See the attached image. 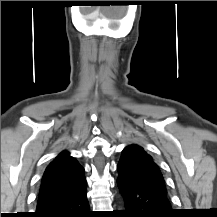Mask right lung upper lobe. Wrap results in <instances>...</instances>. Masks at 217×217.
I'll use <instances>...</instances> for the list:
<instances>
[{
  "label": "right lung upper lobe",
  "instance_id": "right-lung-upper-lobe-1",
  "mask_svg": "<svg viewBox=\"0 0 217 217\" xmlns=\"http://www.w3.org/2000/svg\"><path fill=\"white\" fill-rule=\"evenodd\" d=\"M86 187L84 168L64 151L48 165L43 174L37 207L79 194Z\"/></svg>",
  "mask_w": 217,
  "mask_h": 217
}]
</instances>
